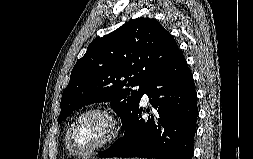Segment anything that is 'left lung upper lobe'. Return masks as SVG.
<instances>
[{"label":"left lung upper lobe","instance_id":"1","mask_svg":"<svg viewBox=\"0 0 253 159\" xmlns=\"http://www.w3.org/2000/svg\"><path fill=\"white\" fill-rule=\"evenodd\" d=\"M178 51L171 34L150 18L131 20L94 40L71 72L58 124L76 109L109 101L124 125L146 85ZM134 86L139 89L129 88Z\"/></svg>","mask_w":253,"mask_h":159}]
</instances>
